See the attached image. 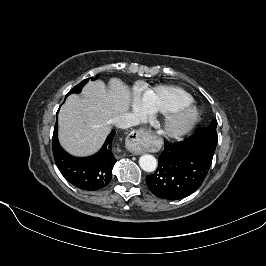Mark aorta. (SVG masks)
<instances>
[{"instance_id":"762f6f07","label":"aorta","mask_w":266,"mask_h":266,"mask_svg":"<svg viewBox=\"0 0 266 266\" xmlns=\"http://www.w3.org/2000/svg\"><path fill=\"white\" fill-rule=\"evenodd\" d=\"M140 167L146 172H153L157 168V160L150 154L142 155L139 159Z\"/></svg>"}]
</instances>
